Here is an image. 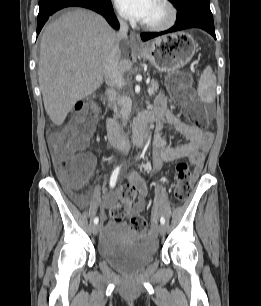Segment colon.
Returning <instances> with one entry per match:
<instances>
[{"mask_svg": "<svg viewBox=\"0 0 261 306\" xmlns=\"http://www.w3.org/2000/svg\"><path fill=\"white\" fill-rule=\"evenodd\" d=\"M168 87L173 102L184 107L188 119L195 125L205 124L206 116L194 105V91L190 79L182 74H172L168 77ZM98 115L99 110L95 104L83 103L70 124L54 139L61 162L59 176L63 183L70 187L82 185L89 176L90 158L80 152L88 146L95 134ZM175 177L174 198L183 202L192 192V172L188 163L177 164ZM135 197L134 188L131 185H123L118 203L109 211L111 219L121 221L130 215ZM130 226L139 234L151 233L148 222L142 216L132 215Z\"/></svg>", "mask_w": 261, "mask_h": 306, "instance_id": "5ec220e1", "label": "colon"}]
</instances>
